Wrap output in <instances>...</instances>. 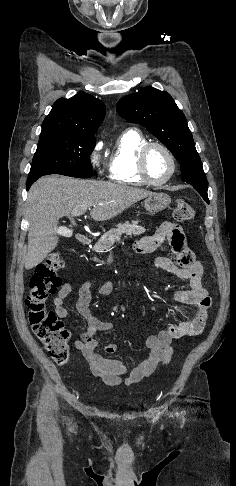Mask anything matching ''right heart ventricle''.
<instances>
[{
    "label": "right heart ventricle",
    "instance_id": "right-heart-ventricle-1",
    "mask_svg": "<svg viewBox=\"0 0 236 486\" xmlns=\"http://www.w3.org/2000/svg\"><path fill=\"white\" fill-rule=\"evenodd\" d=\"M147 142L136 129H128L119 135L109 155V176L113 181L134 186L145 184L137 171V154Z\"/></svg>",
    "mask_w": 236,
    "mask_h": 486
}]
</instances>
